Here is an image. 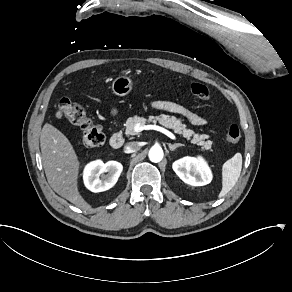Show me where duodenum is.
Segmentation results:
<instances>
[{"mask_svg":"<svg viewBox=\"0 0 292 292\" xmlns=\"http://www.w3.org/2000/svg\"><path fill=\"white\" fill-rule=\"evenodd\" d=\"M110 146L113 149H119L124 143V137L121 132H115L110 138Z\"/></svg>","mask_w":292,"mask_h":292,"instance_id":"1","label":"duodenum"}]
</instances>
